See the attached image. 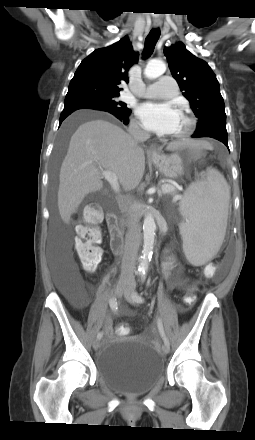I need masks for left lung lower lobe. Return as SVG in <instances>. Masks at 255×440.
Masks as SVG:
<instances>
[{
	"mask_svg": "<svg viewBox=\"0 0 255 440\" xmlns=\"http://www.w3.org/2000/svg\"><path fill=\"white\" fill-rule=\"evenodd\" d=\"M191 137L192 138H201V137L214 138V139L219 140L220 142L224 143L228 147L227 134H225V133H220V132H216V131H209V132H204V133H194ZM228 149H229V147H228Z\"/></svg>",
	"mask_w": 255,
	"mask_h": 440,
	"instance_id": "1",
	"label": "left lung lower lobe"
}]
</instances>
